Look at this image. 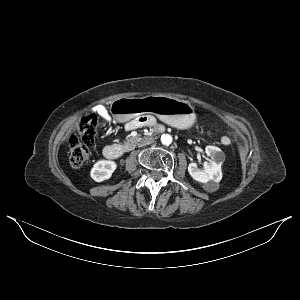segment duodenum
Returning <instances> with one entry per match:
<instances>
[{"label": "duodenum", "instance_id": "obj_1", "mask_svg": "<svg viewBox=\"0 0 300 300\" xmlns=\"http://www.w3.org/2000/svg\"><path fill=\"white\" fill-rule=\"evenodd\" d=\"M125 153V147L122 144H109L103 148V155L107 159H118Z\"/></svg>", "mask_w": 300, "mask_h": 300}]
</instances>
